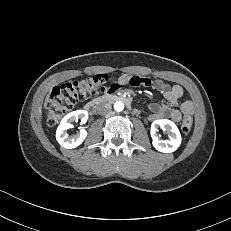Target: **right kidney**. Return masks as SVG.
I'll return each mask as SVG.
<instances>
[{
    "label": "right kidney",
    "mask_w": 231,
    "mask_h": 231,
    "mask_svg": "<svg viewBox=\"0 0 231 231\" xmlns=\"http://www.w3.org/2000/svg\"><path fill=\"white\" fill-rule=\"evenodd\" d=\"M81 120V123L84 124L88 119V112L85 110H77L67 114L62 120L56 131V140L58 143L67 149H72L85 140L87 136V131L82 128L80 132L76 135L69 136L67 130L72 127V122Z\"/></svg>",
    "instance_id": "1"
}]
</instances>
